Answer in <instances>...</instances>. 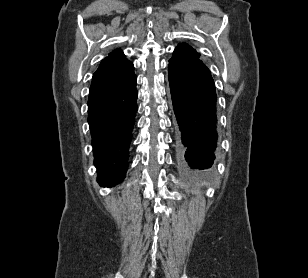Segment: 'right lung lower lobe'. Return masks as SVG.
<instances>
[{"label": "right lung lower lobe", "mask_w": 308, "mask_h": 278, "mask_svg": "<svg viewBox=\"0 0 308 278\" xmlns=\"http://www.w3.org/2000/svg\"><path fill=\"white\" fill-rule=\"evenodd\" d=\"M137 96L134 72L119 85L90 89L88 123L97 181L103 187L118 184L125 176Z\"/></svg>", "instance_id": "98d812e1"}]
</instances>
